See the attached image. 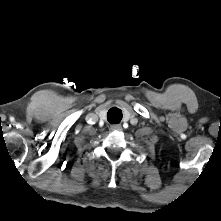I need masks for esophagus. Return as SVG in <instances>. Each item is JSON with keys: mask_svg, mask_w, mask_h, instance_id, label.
<instances>
[{"mask_svg": "<svg viewBox=\"0 0 221 221\" xmlns=\"http://www.w3.org/2000/svg\"><path fill=\"white\" fill-rule=\"evenodd\" d=\"M110 129L112 131H121L122 130V126L120 124H115V125H112Z\"/></svg>", "mask_w": 221, "mask_h": 221, "instance_id": "obj_1", "label": "esophagus"}]
</instances>
